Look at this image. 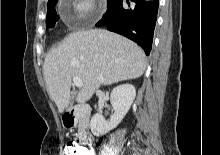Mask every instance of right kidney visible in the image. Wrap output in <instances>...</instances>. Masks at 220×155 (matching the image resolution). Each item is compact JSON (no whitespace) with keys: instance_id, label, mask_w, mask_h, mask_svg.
I'll use <instances>...</instances> for the list:
<instances>
[{"instance_id":"obj_1","label":"right kidney","mask_w":220,"mask_h":155,"mask_svg":"<svg viewBox=\"0 0 220 155\" xmlns=\"http://www.w3.org/2000/svg\"><path fill=\"white\" fill-rule=\"evenodd\" d=\"M135 96L136 89L131 84H123L114 88L110 96L114 114L109 122L101 114H95L90 122L91 132L95 136H100L114 129L129 111Z\"/></svg>"}]
</instances>
